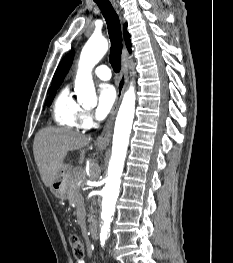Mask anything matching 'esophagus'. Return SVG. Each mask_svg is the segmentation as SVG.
<instances>
[{"mask_svg": "<svg viewBox=\"0 0 233 263\" xmlns=\"http://www.w3.org/2000/svg\"><path fill=\"white\" fill-rule=\"evenodd\" d=\"M127 71H128V65H127V49L124 47L123 53H122V66H121V72L120 77L117 85V101L110 113V116L103 128L102 133L97 138L96 144L99 148H106L111 140L112 136V130H113V124L115 120V116L118 110V106L120 104L121 98L123 96L125 87L127 85Z\"/></svg>", "mask_w": 233, "mask_h": 263, "instance_id": "34e87169", "label": "esophagus"}]
</instances>
